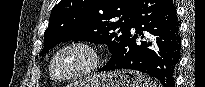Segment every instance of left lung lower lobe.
Here are the masks:
<instances>
[{
  "label": "left lung lower lobe",
  "instance_id": "obj_1",
  "mask_svg": "<svg viewBox=\"0 0 205 87\" xmlns=\"http://www.w3.org/2000/svg\"><path fill=\"white\" fill-rule=\"evenodd\" d=\"M130 35L120 54L100 71L133 69L157 78L164 87H174V70L180 58L179 21L172 0H139L131 17ZM150 39L136 44L138 37Z\"/></svg>",
  "mask_w": 205,
  "mask_h": 87
}]
</instances>
